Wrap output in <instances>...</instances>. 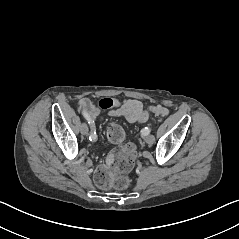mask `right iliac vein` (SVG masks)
I'll return each mask as SVG.
<instances>
[{
    "mask_svg": "<svg viewBox=\"0 0 239 239\" xmlns=\"http://www.w3.org/2000/svg\"><path fill=\"white\" fill-rule=\"evenodd\" d=\"M80 132L81 134L83 135H86L88 134V126L86 123H82L81 126H80Z\"/></svg>",
    "mask_w": 239,
    "mask_h": 239,
    "instance_id": "1",
    "label": "right iliac vein"
}]
</instances>
